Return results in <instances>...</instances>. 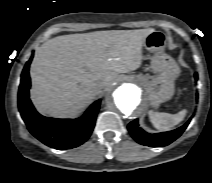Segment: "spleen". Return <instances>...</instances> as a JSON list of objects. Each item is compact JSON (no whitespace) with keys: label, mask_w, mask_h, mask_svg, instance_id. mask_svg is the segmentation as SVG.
Here are the masks:
<instances>
[{"label":"spleen","mask_w":212,"mask_h":183,"mask_svg":"<svg viewBox=\"0 0 212 183\" xmlns=\"http://www.w3.org/2000/svg\"><path fill=\"white\" fill-rule=\"evenodd\" d=\"M187 111L181 110L177 114L149 111V119L153 126L160 130L166 131L180 123L186 116Z\"/></svg>","instance_id":"spleen-1"}]
</instances>
